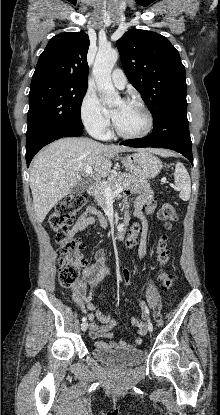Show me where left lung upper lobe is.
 <instances>
[{
	"label": "left lung upper lobe",
	"instance_id": "1",
	"mask_svg": "<svg viewBox=\"0 0 220 415\" xmlns=\"http://www.w3.org/2000/svg\"><path fill=\"white\" fill-rule=\"evenodd\" d=\"M117 48L129 82L142 95L153 118L166 107L187 103L185 67L166 37L132 29L117 41Z\"/></svg>",
	"mask_w": 220,
	"mask_h": 415
}]
</instances>
